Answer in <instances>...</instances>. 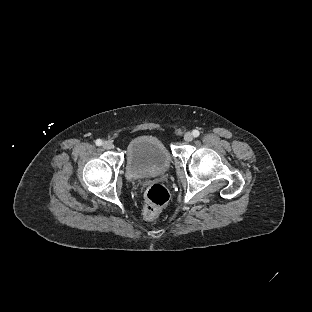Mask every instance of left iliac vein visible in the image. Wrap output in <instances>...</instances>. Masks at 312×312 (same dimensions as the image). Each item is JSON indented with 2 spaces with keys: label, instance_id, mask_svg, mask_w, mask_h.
Here are the masks:
<instances>
[{
  "label": "left iliac vein",
  "instance_id": "1",
  "mask_svg": "<svg viewBox=\"0 0 312 312\" xmlns=\"http://www.w3.org/2000/svg\"><path fill=\"white\" fill-rule=\"evenodd\" d=\"M184 140H185L186 142L192 141V140H193V135H192V133L187 132V133L184 135Z\"/></svg>",
  "mask_w": 312,
  "mask_h": 312
}]
</instances>
